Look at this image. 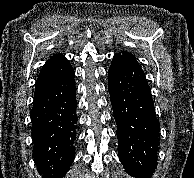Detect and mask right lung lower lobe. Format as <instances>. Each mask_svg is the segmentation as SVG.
Listing matches in <instances>:
<instances>
[{"mask_svg": "<svg viewBox=\"0 0 194 178\" xmlns=\"http://www.w3.org/2000/svg\"><path fill=\"white\" fill-rule=\"evenodd\" d=\"M76 86L74 70L35 85L30 117L33 159L49 178H63L74 157L76 137Z\"/></svg>", "mask_w": 194, "mask_h": 178, "instance_id": "1", "label": "right lung lower lobe"}]
</instances>
